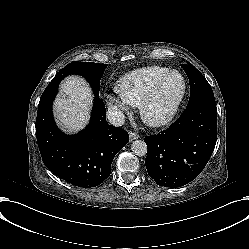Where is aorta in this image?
Wrapping results in <instances>:
<instances>
[{
    "instance_id": "762f6f07",
    "label": "aorta",
    "mask_w": 249,
    "mask_h": 249,
    "mask_svg": "<svg viewBox=\"0 0 249 249\" xmlns=\"http://www.w3.org/2000/svg\"><path fill=\"white\" fill-rule=\"evenodd\" d=\"M131 150L135 155L142 157L147 154L148 146L142 140H135L131 144Z\"/></svg>"
}]
</instances>
